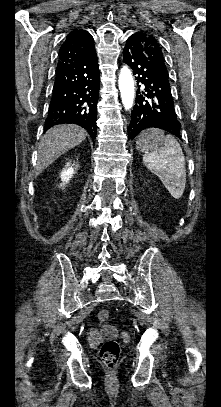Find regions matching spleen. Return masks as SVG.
<instances>
[{"instance_id":"obj_1","label":"spleen","mask_w":221,"mask_h":407,"mask_svg":"<svg viewBox=\"0 0 221 407\" xmlns=\"http://www.w3.org/2000/svg\"><path fill=\"white\" fill-rule=\"evenodd\" d=\"M161 148L145 152V166L157 175L175 199L181 198L186 185L185 159L179 142L171 135L162 137Z\"/></svg>"}]
</instances>
